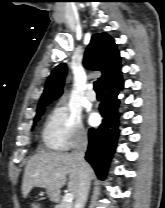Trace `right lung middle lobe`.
Here are the masks:
<instances>
[{"mask_svg": "<svg viewBox=\"0 0 165 208\" xmlns=\"http://www.w3.org/2000/svg\"><path fill=\"white\" fill-rule=\"evenodd\" d=\"M42 112H43V110H40V111L37 112V115L35 117V121L38 120V118L41 116Z\"/></svg>", "mask_w": 165, "mask_h": 208, "instance_id": "dd1d6c3e", "label": "right lung middle lobe"}]
</instances>
